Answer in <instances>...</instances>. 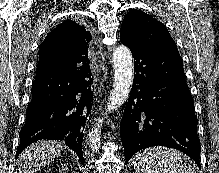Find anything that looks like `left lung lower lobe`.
Here are the masks:
<instances>
[{
	"label": "left lung lower lobe",
	"instance_id": "1",
	"mask_svg": "<svg viewBox=\"0 0 219 173\" xmlns=\"http://www.w3.org/2000/svg\"><path fill=\"white\" fill-rule=\"evenodd\" d=\"M130 50L136 75L120 123L126 162L141 149L161 145L184 152L201 168L197 117L180 54Z\"/></svg>",
	"mask_w": 219,
	"mask_h": 173
}]
</instances>
